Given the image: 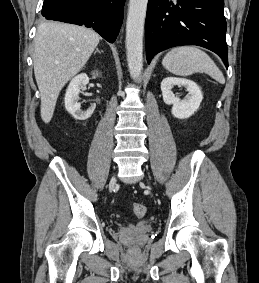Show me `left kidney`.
<instances>
[{
	"mask_svg": "<svg viewBox=\"0 0 259 283\" xmlns=\"http://www.w3.org/2000/svg\"><path fill=\"white\" fill-rule=\"evenodd\" d=\"M185 87L188 95L184 99L175 96L172 89L174 86ZM163 100L167 105H173L172 115L178 119H186L198 110L203 95L199 86L188 79L167 77L161 82Z\"/></svg>",
	"mask_w": 259,
	"mask_h": 283,
	"instance_id": "5707ae66",
	"label": "left kidney"
}]
</instances>
